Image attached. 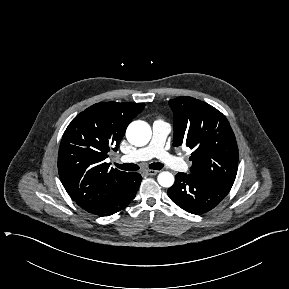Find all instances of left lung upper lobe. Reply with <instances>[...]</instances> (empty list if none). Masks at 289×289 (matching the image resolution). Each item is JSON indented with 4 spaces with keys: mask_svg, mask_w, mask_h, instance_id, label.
Returning a JSON list of instances; mask_svg holds the SVG:
<instances>
[{
    "mask_svg": "<svg viewBox=\"0 0 289 289\" xmlns=\"http://www.w3.org/2000/svg\"><path fill=\"white\" fill-rule=\"evenodd\" d=\"M174 115L173 145L193 149L190 173L231 188L238 168V147L226 117L192 97L169 101Z\"/></svg>",
    "mask_w": 289,
    "mask_h": 289,
    "instance_id": "1",
    "label": "left lung upper lobe"
}]
</instances>
